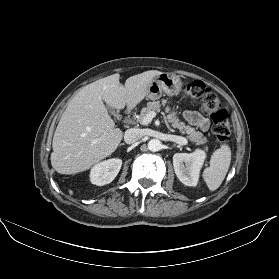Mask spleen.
I'll list each match as a JSON object with an SVG mask.
<instances>
[{
	"label": "spleen",
	"instance_id": "3e777b00",
	"mask_svg": "<svg viewBox=\"0 0 279 279\" xmlns=\"http://www.w3.org/2000/svg\"><path fill=\"white\" fill-rule=\"evenodd\" d=\"M231 162V149L229 145L222 144L211 159L210 166L205 168L203 178L210 191H215L223 182Z\"/></svg>",
	"mask_w": 279,
	"mask_h": 279
}]
</instances>
